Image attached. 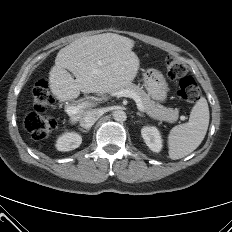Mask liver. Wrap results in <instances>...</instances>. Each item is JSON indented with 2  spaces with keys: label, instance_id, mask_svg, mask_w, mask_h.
Segmentation results:
<instances>
[{
  "label": "liver",
  "instance_id": "liver-1",
  "mask_svg": "<svg viewBox=\"0 0 232 232\" xmlns=\"http://www.w3.org/2000/svg\"><path fill=\"white\" fill-rule=\"evenodd\" d=\"M133 46L132 39L114 33L75 40L58 52L50 70L52 94L63 102L77 98L80 92L112 93L131 83L139 69ZM85 103V108L69 115L71 123H76L84 112L91 110V103Z\"/></svg>",
  "mask_w": 232,
  "mask_h": 232
}]
</instances>
